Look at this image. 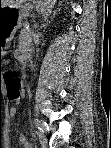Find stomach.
I'll list each match as a JSON object with an SVG mask.
<instances>
[{"label": "stomach", "instance_id": "0dacf381", "mask_svg": "<svg viewBox=\"0 0 111 148\" xmlns=\"http://www.w3.org/2000/svg\"><path fill=\"white\" fill-rule=\"evenodd\" d=\"M22 17L23 10L20 6L0 7V53L4 54L9 48L15 32L22 25Z\"/></svg>", "mask_w": 111, "mask_h": 148}]
</instances>
